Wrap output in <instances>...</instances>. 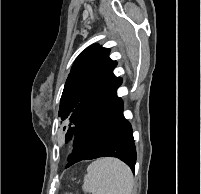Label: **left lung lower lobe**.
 I'll return each mask as SVG.
<instances>
[{
	"label": "left lung lower lobe",
	"instance_id": "obj_1",
	"mask_svg": "<svg viewBox=\"0 0 201 194\" xmlns=\"http://www.w3.org/2000/svg\"><path fill=\"white\" fill-rule=\"evenodd\" d=\"M74 149L66 168L103 156L117 157L134 172L136 150L130 123L123 116V102L117 93L74 135ZM71 140L66 138V142Z\"/></svg>",
	"mask_w": 201,
	"mask_h": 194
}]
</instances>
